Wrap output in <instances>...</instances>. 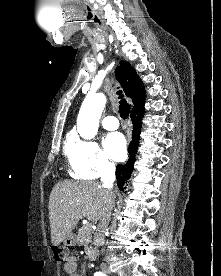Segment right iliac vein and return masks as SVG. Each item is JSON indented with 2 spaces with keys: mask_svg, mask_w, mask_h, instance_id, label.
Masks as SVG:
<instances>
[{
  "mask_svg": "<svg viewBox=\"0 0 221 276\" xmlns=\"http://www.w3.org/2000/svg\"><path fill=\"white\" fill-rule=\"evenodd\" d=\"M102 270H103L104 272H108V268H107V267H103Z\"/></svg>",
  "mask_w": 221,
  "mask_h": 276,
  "instance_id": "obj_1",
  "label": "right iliac vein"
}]
</instances>
